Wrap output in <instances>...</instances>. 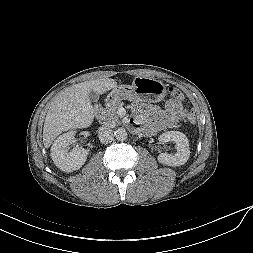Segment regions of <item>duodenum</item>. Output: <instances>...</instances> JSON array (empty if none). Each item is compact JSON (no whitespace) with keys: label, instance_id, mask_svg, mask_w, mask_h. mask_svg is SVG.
<instances>
[{"label":"duodenum","instance_id":"obj_1","mask_svg":"<svg viewBox=\"0 0 253 253\" xmlns=\"http://www.w3.org/2000/svg\"><path fill=\"white\" fill-rule=\"evenodd\" d=\"M115 99L116 98L114 96L109 97L106 101V104L109 105V104L113 103L115 101ZM95 113H96L97 117H101L102 113H103V108H101V107L97 108Z\"/></svg>","mask_w":253,"mask_h":253}]
</instances>
